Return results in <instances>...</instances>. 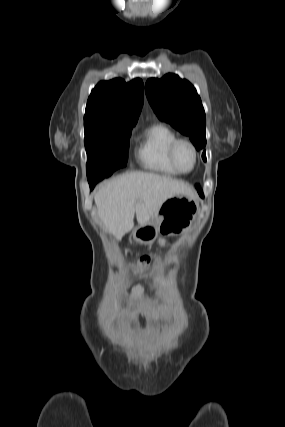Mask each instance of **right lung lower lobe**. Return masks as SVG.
<instances>
[{
	"label": "right lung lower lobe",
	"instance_id": "98d812e1",
	"mask_svg": "<svg viewBox=\"0 0 285 427\" xmlns=\"http://www.w3.org/2000/svg\"><path fill=\"white\" fill-rule=\"evenodd\" d=\"M99 181H101V180H99ZM99 181H92V182H89L90 189L92 190V189L94 188V186L96 185V183H97V182H99Z\"/></svg>",
	"mask_w": 285,
	"mask_h": 427
}]
</instances>
